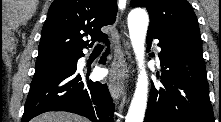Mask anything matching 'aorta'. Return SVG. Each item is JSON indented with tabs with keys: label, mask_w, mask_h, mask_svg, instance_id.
I'll return each instance as SVG.
<instances>
[{
	"label": "aorta",
	"mask_w": 221,
	"mask_h": 122,
	"mask_svg": "<svg viewBox=\"0 0 221 122\" xmlns=\"http://www.w3.org/2000/svg\"><path fill=\"white\" fill-rule=\"evenodd\" d=\"M149 16L142 8L133 9L128 15V29L131 44L139 68L136 88L125 122H143L148 96V76L145 69V38Z\"/></svg>",
	"instance_id": "762f6f07"
}]
</instances>
